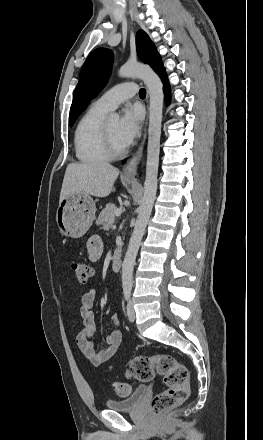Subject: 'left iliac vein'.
Masks as SVG:
<instances>
[{
    "mask_svg": "<svg viewBox=\"0 0 263 440\" xmlns=\"http://www.w3.org/2000/svg\"><path fill=\"white\" fill-rule=\"evenodd\" d=\"M127 317L129 319L130 322H134L135 321V310L133 308V304L131 301L128 302L127 304Z\"/></svg>",
    "mask_w": 263,
    "mask_h": 440,
    "instance_id": "left-iliac-vein-1",
    "label": "left iliac vein"
}]
</instances>
